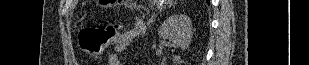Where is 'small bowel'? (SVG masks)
<instances>
[{
  "label": "small bowel",
  "mask_w": 309,
  "mask_h": 65,
  "mask_svg": "<svg viewBox=\"0 0 309 65\" xmlns=\"http://www.w3.org/2000/svg\"><path fill=\"white\" fill-rule=\"evenodd\" d=\"M145 31V23L141 18L134 21L133 28L123 33L116 42L115 53H112L108 59V65H123L120 53L124 51L134 38L142 35Z\"/></svg>",
  "instance_id": "obj_1"
}]
</instances>
